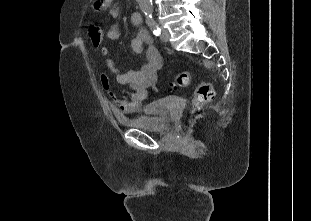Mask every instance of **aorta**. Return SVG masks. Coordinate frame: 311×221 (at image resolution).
Here are the masks:
<instances>
[{"instance_id": "obj_1", "label": "aorta", "mask_w": 311, "mask_h": 221, "mask_svg": "<svg viewBox=\"0 0 311 221\" xmlns=\"http://www.w3.org/2000/svg\"><path fill=\"white\" fill-rule=\"evenodd\" d=\"M140 8L145 12L147 20H152L153 4L151 0H139Z\"/></svg>"}]
</instances>
